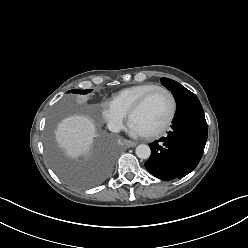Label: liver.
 Segmentation results:
<instances>
[{
	"label": "liver",
	"mask_w": 248,
	"mask_h": 248,
	"mask_svg": "<svg viewBox=\"0 0 248 248\" xmlns=\"http://www.w3.org/2000/svg\"><path fill=\"white\" fill-rule=\"evenodd\" d=\"M55 136L66 154L76 158L91 151L96 137V128L90 118L75 115L61 121L55 131Z\"/></svg>",
	"instance_id": "obj_1"
}]
</instances>
